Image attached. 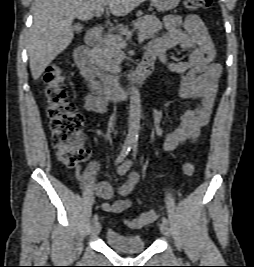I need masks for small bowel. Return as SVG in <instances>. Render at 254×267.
<instances>
[{"label":"small bowel","mask_w":254,"mask_h":267,"mask_svg":"<svg viewBox=\"0 0 254 267\" xmlns=\"http://www.w3.org/2000/svg\"><path fill=\"white\" fill-rule=\"evenodd\" d=\"M166 33L154 39L148 45L145 56L158 59L169 71L180 75L179 93L183 98L197 99L193 110H187L180 118L179 124L166 135L164 149L172 151L184 142H195L203 127L210 120L217 93V81L221 75V65L214 61L215 48L213 41L202 22L195 14H173L165 17ZM180 46L190 50L187 61L173 62L167 57V51ZM86 111L105 114L108 112V101L94 92L93 84L88 82V92L83 98ZM162 113L157 110L152 120L156 134H163ZM127 160L117 168L119 175H124L131 168ZM98 164L91 162L82 175H78L81 183L91 185L94 192L104 200L113 196L112 186L104 181L96 180ZM140 176L131 172L118 192L122 197L128 196L139 183ZM131 205L129 199H118L112 203L104 202L100 208L108 213H122Z\"/></svg>","instance_id":"c3829d8e"}]
</instances>
